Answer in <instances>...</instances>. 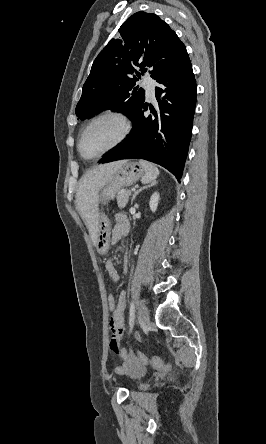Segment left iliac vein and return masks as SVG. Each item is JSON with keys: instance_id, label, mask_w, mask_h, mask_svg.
<instances>
[{"instance_id": "left-iliac-vein-1", "label": "left iliac vein", "mask_w": 266, "mask_h": 444, "mask_svg": "<svg viewBox=\"0 0 266 444\" xmlns=\"http://www.w3.org/2000/svg\"><path fill=\"white\" fill-rule=\"evenodd\" d=\"M139 316L145 328L148 327L150 321V315L147 307L144 303H140L139 306Z\"/></svg>"}]
</instances>
